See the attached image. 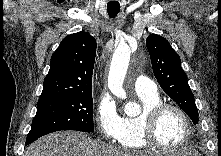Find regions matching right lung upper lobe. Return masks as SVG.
Segmentation results:
<instances>
[{"label": "right lung upper lobe", "instance_id": "cb5924a9", "mask_svg": "<svg viewBox=\"0 0 221 156\" xmlns=\"http://www.w3.org/2000/svg\"><path fill=\"white\" fill-rule=\"evenodd\" d=\"M96 40L81 31L66 36L53 53L40 98L92 90Z\"/></svg>", "mask_w": 221, "mask_h": 156}]
</instances>
